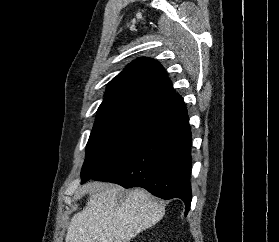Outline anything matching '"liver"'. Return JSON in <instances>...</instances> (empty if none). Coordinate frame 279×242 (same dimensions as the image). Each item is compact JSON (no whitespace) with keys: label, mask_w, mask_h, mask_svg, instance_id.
<instances>
[{"label":"liver","mask_w":279,"mask_h":242,"mask_svg":"<svg viewBox=\"0 0 279 242\" xmlns=\"http://www.w3.org/2000/svg\"><path fill=\"white\" fill-rule=\"evenodd\" d=\"M86 207L69 224L65 242H128L159 222L165 207L143 189L126 192L119 202V186L87 183Z\"/></svg>","instance_id":"liver-1"}]
</instances>
